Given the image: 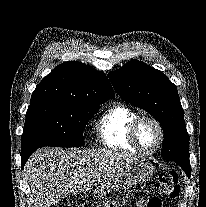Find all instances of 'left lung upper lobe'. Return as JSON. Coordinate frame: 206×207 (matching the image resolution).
<instances>
[{
	"instance_id": "left-lung-upper-lobe-1",
	"label": "left lung upper lobe",
	"mask_w": 206,
	"mask_h": 207,
	"mask_svg": "<svg viewBox=\"0 0 206 207\" xmlns=\"http://www.w3.org/2000/svg\"><path fill=\"white\" fill-rule=\"evenodd\" d=\"M108 76L123 100L160 122L165 136L162 157L176 162L190 174L189 138L176 85L161 71L138 60L128 62Z\"/></svg>"
}]
</instances>
